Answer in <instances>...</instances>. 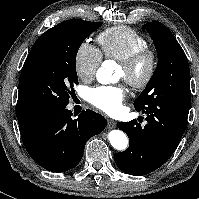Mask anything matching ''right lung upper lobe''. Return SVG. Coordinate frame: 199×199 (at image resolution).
Returning <instances> with one entry per match:
<instances>
[{"instance_id": "obj_1", "label": "right lung upper lobe", "mask_w": 199, "mask_h": 199, "mask_svg": "<svg viewBox=\"0 0 199 199\" xmlns=\"http://www.w3.org/2000/svg\"><path fill=\"white\" fill-rule=\"evenodd\" d=\"M17 118H18V122H19V128H20V132L25 131L28 127L31 126V124L36 121L37 119L35 118H30L27 116H24L23 114L16 112Z\"/></svg>"}]
</instances>
